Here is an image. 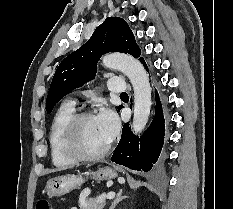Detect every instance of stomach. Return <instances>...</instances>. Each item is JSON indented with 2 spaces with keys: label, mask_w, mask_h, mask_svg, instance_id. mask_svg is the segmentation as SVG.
<instances>
[{
  "label": "stomach",
  "mask_w": 233,
  "mask_h": 209,
  "mask_svg": "<svg viewBox=\"0 0 233 209\" xmlns=\"http://www.w3.org/2000/svg\"><path fill=\"white\" fill-rule=\"evenodd\" d=\"M86 175H90L95 180L103 181L114 179L118 174L114 169L104 167ZM85 180L82 175L66 174L58 176L47 181L46 192L50 197H60L74 189L80 188Z\"/></svg>",
  "instance_id": "0dacf381"
}]
</instances>
